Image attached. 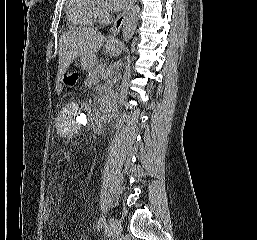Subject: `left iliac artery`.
Returning a JSON list of instances; mask_svg holds the SVG:
<instances>
[{"label":"left iliac artery","mask_w":257,"mask_h":240,"mask_svg":"<svg viewBox=\"0 0 257 240\" xmlns=\"http://www.w3.org/2000/svg\"><path fill=\"white\" fill-rule=\"evenodd\" d=\"M104 222H105L104 216L100 217V218H99V221H98V223H97V229H98V230L102 227V225L104 224Z\"/></svg>","instance_id":"44dca946"}]
</instances>
